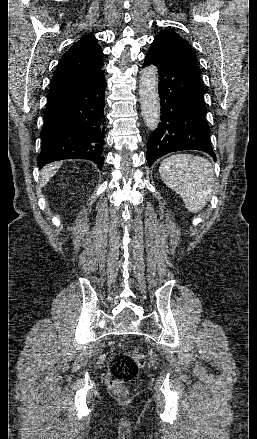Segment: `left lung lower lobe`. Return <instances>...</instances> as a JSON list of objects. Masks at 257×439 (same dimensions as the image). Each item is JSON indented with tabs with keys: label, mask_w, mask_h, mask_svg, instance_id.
<instances>
[{
	"label": "left lung lower lobe",
	"mask_w": 257,
	"mask_h": 439,
	"mask_svg": "<svg viewBox=\"0 0 257 439\" xmlns=\"http://www.w3.org/2000/svg\"><path fill=\"white\" fill-rule=\"evenodd\" d=\"M158 67L161 122L147 142V162L175 151L199 150L214 159L201 77L180 55L153 41L144 66Z\"/></svg>",
	"instance_id": "left-lung-lower-lobe-1"
}]
</instances>
